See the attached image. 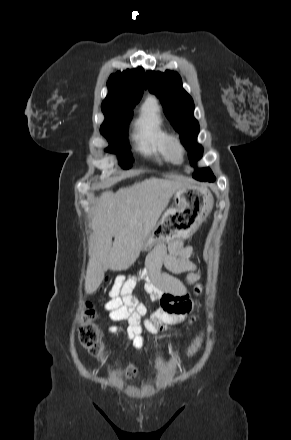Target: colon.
I'll return each mask as SVG.
<instances>
[{"label": "colon", "mask_w": 291, "mask_h": 440, "mask_svg": "<svg viewBox=\"0 0 291 440\" xmlns=\"http://www.w3.org/2000/svg\"><path fill=\"white\" fill-rule=\"evenodd\" d=\"M109 281V278H106ZM79 339L89 351L99 359L106 361L112 357V351L107 349L101 337V331L96 323L95 310L91 303H86L79 317ZM204 341V334L199 333L191 343L188 353L195 354L201 348ZM126 374L133 377L136 369L133 365H125Z\"/></svg>", "instance_id": "colon-1"}]
</instances>
